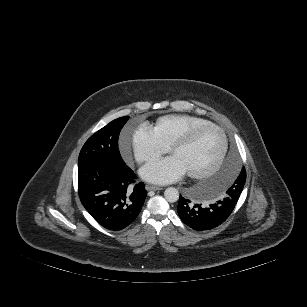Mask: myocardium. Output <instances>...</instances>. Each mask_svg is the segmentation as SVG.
Listing matches in <instances>:
<instances>
[{
    "instance_id": "1",
    "label": "myocardium",
    "mask_w": 307,
    "mask_h": 307,
    "mask_svg": "<svg viewBox=\"0 0 307 307\" xmlns=\"http://www.w3.org/2000/svg\"><path fill=\"white\" fill-rule=\"evenodd\" d=\"M206 128H213L219 132L222 138V148H221V151L219 153V156L216 162L210 169L205 170V171H200V172L187 173L188 177L190 178H194V179L206 178V177L213 175L216 171L219 170V168L221 167L227 155L228 148H229V141H228V137L225 131L222 129V127H220L219 125L213 122L200 124V125L191 127L186 133H184L179 138L174 140L169 146V152L172 154L176 149L188 145L200 131Z\"/></svg>"
}]
</instances>
